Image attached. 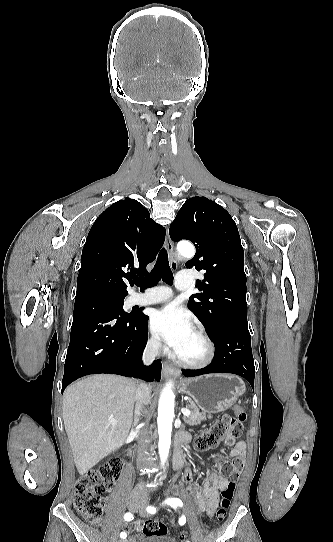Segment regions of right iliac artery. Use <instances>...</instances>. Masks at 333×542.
Listing matches in <instances>:
<instances>
[{
    "mask_svg": "<svg viewBox=\"0 0 333 542\" xmlns=\"http://www.w3.org/2000/svg\"><path fill=\"white\" fill-rule=\"evenodd\" d=\"M124 519L126 521H131L133 519V515L128 512L124 515ZM120 537L124 539L127 537V534L125 532H121Z\"/></svg>",
    "mask_w": 333,
    "mask_h": 542,
    "instance_id": "82829eb1",
    "label": "right iliac artery"
}]
</instances>
